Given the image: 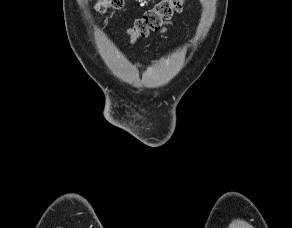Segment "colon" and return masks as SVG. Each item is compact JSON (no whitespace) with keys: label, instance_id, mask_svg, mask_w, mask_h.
<instances>
[{"label":"colon","instance_id":"5ec220e1","mask_svg":"<svg viewBox=\"0 0 292 228\" xmlns=\"http://www.w3.org/2000/svg\"><path fill=\"white\" fill-rule=\"evenodd\" d=\"M185 2L186 0H162L146 11L142 17L135 20L129 29L131 40L136 41L148 36L152 31L159 30L164 21L170 19L174 13L181 11ZM123 5L124 0H99L96 9L104 12L108 8L121 9Z\"/></svg>","mask_w":292,"mask_h":228}]
</instances>
